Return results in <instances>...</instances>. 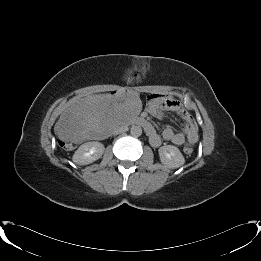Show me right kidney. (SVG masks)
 <instances>
[{"instance_id":"ca27d5eb","label":"right kidney","mask_w":261,"mask_h":261,"mask_svg":"<svg viewBox=\"0 0 261 261\" xmlns=\"http://www.w3.org/2000/svg\"><path fill=\"white\" fill-rule=\"evenodd\" d=\"M104 150L105 147L101 142H86L75 151L72 160L78 165H88L98 160Z\"/></svg>"}]
</instances>
